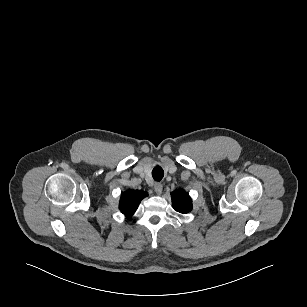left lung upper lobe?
Returning <instances> with one entry per match:
<instances>
[{
    "mask_svg": "<svg viewBox=\"0 0 307 307\" xmlns=\"http://www.w3.org/2000/svg\"><path fill=\"white\" fill-rule=\"evenodd\" d=\"M171 199L173 208L176 211L186 214L192 210V200L184 190H176L172 192Z\"/></svg>",
    "mask_w": 307,
    "mask_h": 307,
    "instance_id": "5c2ea615",
    "label": "left lung upper lobe"
}]
</instances>
